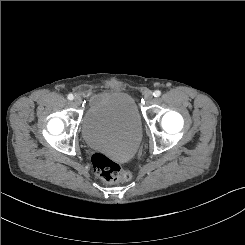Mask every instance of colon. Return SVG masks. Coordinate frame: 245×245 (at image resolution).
Wrapping results in <instances>:
<instances>
[{"mask_svg":"<svg viewBox=\"0 0 245 245\" xmlns=\"http://www.w3.org/2000/svg\"><path fill=\"white\" fill-rule=\"evenodd\" d=\"M95 174L104 182H125L131 179V173L122 170L120 166L101 153H95L91 158Z\"/></svg>","mask_w":245,"mask_h":245,"instance_id":"5ec220e1","label":"colon"}]
</instances>
